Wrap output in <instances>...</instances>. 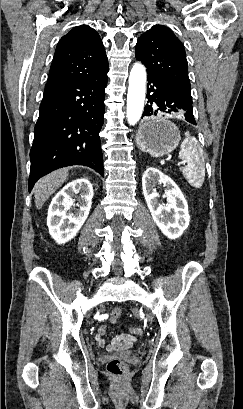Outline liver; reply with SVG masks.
<instances>
[{"label":"liver","instance_id":"liver-1","mask_svg":"<svg viewBox=\"0 0 243 409\" xmlns=\"http://www.w3.org/2000/svg\"><path fill=\"white\" fill-rule=\"evenodd\" d=\"M68 168L56 170L41 178L34 186L35 206L40 209L45 201L64 183Z\"/></svg>","mask_w":243,"mask_h":409}]
</instances>
